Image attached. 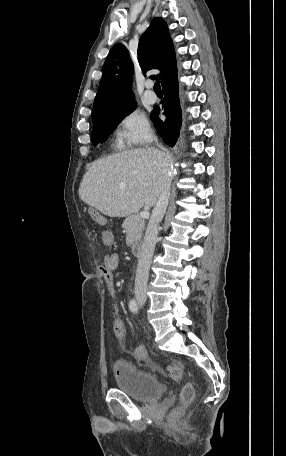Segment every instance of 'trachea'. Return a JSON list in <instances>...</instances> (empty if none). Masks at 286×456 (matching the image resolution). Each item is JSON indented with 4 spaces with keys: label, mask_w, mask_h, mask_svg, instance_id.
<instances>
[{
    "label": "trachea",
    "mask_w": 286,
    "mask_h": 456,
    "mask_svg": "<svg viewBox=\"0 0 286 456\" xmlns=\"http://www.w3.org/2000/svg\"><path fill=\"white\" fill-rule=\"evenodd\" d=\"M154 91L155 92H162L161 91V86H160V82L159 81H156L155 84H154Z\"/></svg>",
    "instance_id": "1"
}]
</instances>
